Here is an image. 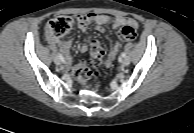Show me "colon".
Wrapping results in <instances>:
<instances>
[{
	"mask_svg": "<svg viewBox=\"0 0 194 133\" xmlns=\"http://www.w3.org/2000/svg\"><path fill=\"white\" fill-rule=\"evenodd\" d=\"M72 20L67 16H59L50 20L45 26V33L47 37L59 38L65 35L71 28ZM136 30L133 27L126 26L120 31V38L123 41H133L136 38ZM104 51L100 45H93L91 47V58L88 64L81 63L74 68V77L80 81L85 82L92 76L97 75V69L102 63Z\"/></svg>",
	"mask_w": 194,
	"mask_h": 133,
	"instance_id": "colon-1",
	"label": "colon"
}]
</instances>
